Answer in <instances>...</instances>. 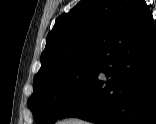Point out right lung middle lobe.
<instances>
[{"label": "right lung middle lobe", "mask_w": 156, "mask_h": 124, "mask_svg": "<svg viewBox=\"0 0 156 124\" xmlns=\"http://www.w3.org/2000/svg\"><path fill=\"white\" fill-rule=\"evenodd\" d=\"M100 62L94 59L75 63L34 78L28 106L36 123H55L87 88Z\"/></svg>", "instance_id": "right-lung-middle-lobe-1"}]
</instances>
